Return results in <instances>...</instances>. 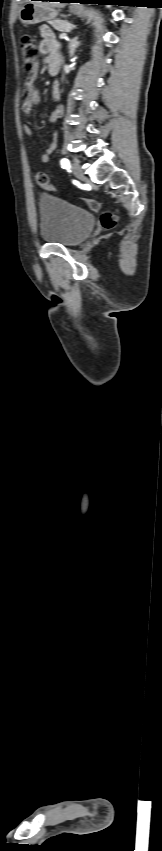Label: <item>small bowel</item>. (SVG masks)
<instances>
[{
    "label": "small bowel",
    "instance_id": "c3829d8e",
    "mask_svg": "<svg viewBox=\"0 0 162 851\" xmlns=\"http://www.w3.org/2000/svg\"><path fill=\"white\" fill-rule=\"evenodd\" d=\"M40 33L42 36V40L39 43V52L41 54L47 55V61H49L50 59H55L60 62L59 44L52 30L48 26L44 25L40 28ZM37 75L38 68L37 65H35L34 68L28 73L23 92L22 110L27 117H30L33 107L40 102L39 93L34 87V82L37 78ZM54 96L57 99L59 98V90L57 86H55L54 88ZM62 114L63 107L58 106L56 110L50 115L49 123H55L58 119L61 118ZM23 131L28 137H32V129L28 123L23 124ZM57 138L58 134L55 132L53 134L52 140L47 143L45 151L41 155L40 159L42 163L49 162L50 155L56 149Z\"/></svg>",
    "mask_w": 162,
    "mask_h": 851
}]
</instances>
